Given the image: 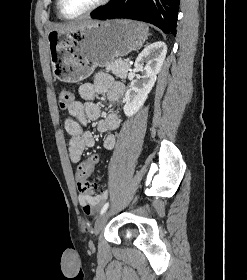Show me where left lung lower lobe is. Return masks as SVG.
Wrapping results in <instances>:
<instances>
[{
    "instance_id": "obj_1",
    "label": "left lung lower lobe",
    "mask_w": 247,
    "mask_h": 280,
    "mask_svg": "<svg viewBox=\"0 0 247 280\" xmlns=\"http://www.w3.org/2000/svg\"><path fill=\"white\" fill-rule=\"evenodd\" d=\"M180 0H111L92 18H128L151 23L166 34L176 35Z\"/></svg>"
}]
</instances>
